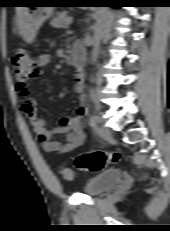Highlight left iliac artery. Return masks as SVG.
<instances>
[{
    "label": "left iliac artery",
    "instance_id": "left-iliac-artery-1",
    "mask_svg": "<svg viewBox=\"0 0 170 231\" xmlns=\"http://www.w3.org/2000/svg\"><path fill=\"white\" fill-rule=\"evenodd\" d=\"M97 120H98L97 117L93 116L89 121L90 126L94 127L96 125V123H97Z\"/></svg>",
    "mask_w": 170,
    "mask_h": 231
}]
</instances>
